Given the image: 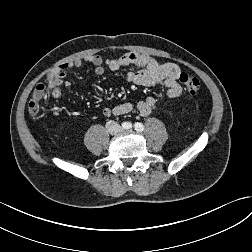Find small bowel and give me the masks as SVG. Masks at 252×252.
<instances>
[{
    "label": "small bowel",
    "mask_w": 252,
    "mask_h": 252,
    "mask_svg": "<svg viewBox=\"0 0 252 252\" xmlns=\"http://www.w3.org/2000/svg\"><path fill=\"white\" fill-rule=\"evenodd\" d=\"M85 62L93 65L94 73L97 75L104 73L105 66L112 71L132 67L134 70L126 73L128 82L141 86L162 84L166 87L167 95L170 98H176L182 93V87L178 83L180 68L177 64L160 63L149 55L128 52L112 59H103L100 55L92 54L62 65L58 71L47 76L48 89L54 99L58 100L61 97L62 86L66 88L71 86L69 81L64 80L66 71L71 67H80ZM154 105L155 99L148 96L136 104L127 102L112 108H105L103 113L105 116H119L136 110L140 115L148 116Z\"/></svg>",
    "instance_id": "1"
}]
</instances>
